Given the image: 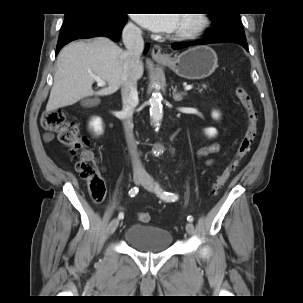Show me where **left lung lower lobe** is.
Masks as SVG:
<instances>
[{"instance_id":"1","label":"left lung lower lobe","mask_w":303,"mask_h":303,"mask_svg":"<svg viewBox=\"0 0 303 303\" xmlns=\"http://www.w3.org/2000/svg\"><path fill=\"white\" fill-rule=\"evenodd\" d=\"M224 42L237 43L243 46L248 51L246 37L245 35H240V34H223V35H215V36H205L204 38L197 41H192L188 43H174L172 44V48L175 50H179L194 45H204L210 43H224Z\"/></svg>"}]
</instances>
